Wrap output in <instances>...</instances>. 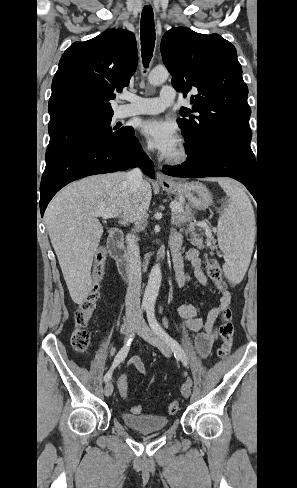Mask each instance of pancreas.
Returning <instances> with one entry per match:
<instances>
[{"instance_id":"pancreas-1","label":"pancreas","mask_w":297,"mask_h":488,"mask_svg":"<svg viewBox=\"0 0 297 488\" xmlns=\"http://www.w3.org/2000/svg\"><path fill=\"white\" fill-rule=\"evenodd\" d=\"M172 203L177 204L179 206L178 210H173L172 212V223L176 226H181L182 224L189 223L190 227L188 231L191 232V240L195 244H201V241L197 238L198 235L195 234L193 230V226L197 224L196 220L193 217V212L191 206H183L182 202L173 201ZM193 221V222H192Z\"/></svg>"}]
</instances>
